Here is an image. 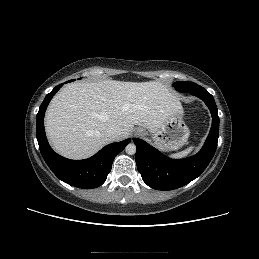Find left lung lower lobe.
<instances>
[{"instance_id":"obj_1","label":"left lung lower lobe","mask_w":259,"mask_h":259,"mask_svg":"<svg viewBox=\"0 0 259 259\" xmlns=\"http://www.w3.org/2000/svg\"><path fill=\"white\" fill-rule=\"evenodd\" d=\"M202 99L212 115V126L202 149L196 155L174 160L162 155L145 141L133 138L137 147L136 164L143 181L156 190L182 187L202 174L210 163L219 137V116L213 96L206 90L190 92Z\"/></svg>"}]
</instances>
